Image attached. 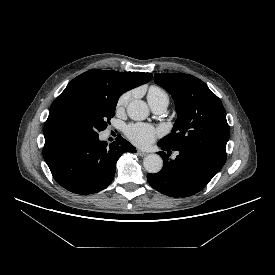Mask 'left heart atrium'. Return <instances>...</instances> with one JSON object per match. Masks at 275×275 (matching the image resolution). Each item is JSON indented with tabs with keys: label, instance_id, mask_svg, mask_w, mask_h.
Masks as SVG:
<instances>
[{
	"label": "left heart atrium",
	"instance_id": "left-heart-atrium-1",
	"mask_svg": "<svg viewBox=\"0 0 275 275\" xmlns=\"http://www.w3.org/2000/svg\"><path fill=\"white\" fill-rule=\"evenodd\" d=\"M160 134L159 129L144 123L131 124L126 128V135L129 140L140 147L148 146Z\"/></svg>",
	"mask_w": 275,
	"mask_h": 275
}]
</instances>
